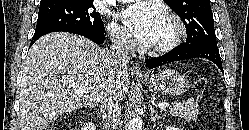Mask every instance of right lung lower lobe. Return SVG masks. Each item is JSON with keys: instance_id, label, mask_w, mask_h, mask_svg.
<instances>
[{"instance_id": "98d812e1", "label": "right lung lower lobe", "mask_w": 249, "mask_h": 130, "mask_svg": "<svg viewBox=\"0 0 249 130\" xmlns=\"http://www.w3.org/2000/svg\"><path fill=\"white\" fill-rule=\"evenodd\" d=\"M57 31H63V32H69V33H73V34H79V35H82V36L92 40L93 42H95L97 44H101L105 40V32L104 33H95L93 31H90V30H87V29H84V28L70 27V28H63V29L50 31V32H57ZM50 32L34 34L30 46L37 39H39L41 36H43V35H45L47 33H50Z\"/></svg>"}]
</instances>
